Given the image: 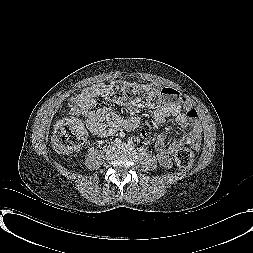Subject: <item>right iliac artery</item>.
I'll use <instances>...</instances> for the list:
<instances>
[{"label":"right iliac artery","instance_id":"1","mask_svg":"<svg viewBox=\"0 0 253 253\" xmlns=\"http://www.w3.org/2000/svg\"><path fill=\"white\" fill-rule=\"evenodd\" d=\"M116 141H117V142H120V139L117 138Z\"/></svg>","mask_w":253,"mask_h":253}]
</instances>
